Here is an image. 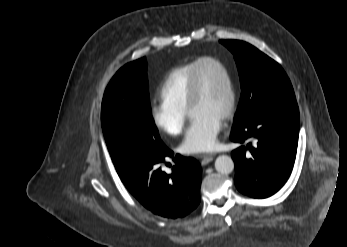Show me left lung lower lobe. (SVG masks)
<instances>
[{
	"label": "left lung lower lobe",
	"mask_w": 347,
	"mask_h": 247,
	"mask_svg": "<svg viewBox=\"0 0 347 247\" xmlns=\"http://www.w3.org/2000/svg\"><path fill=\"white\" fill-rule=\"evenodd\" d=\"M298 135L296 100L271 103L233 127L231 140L247 143L232 152L237 189L253 198L276 193L292 171Z\"/></svg>",
	"instance_id": "1"
}]
</instances>
